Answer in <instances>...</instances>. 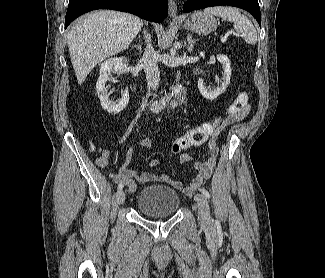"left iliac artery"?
<instances>
[{"label":"left iliac artery","mask_w":325,"mask_h":278,"mask_svg":"<svg viewBox=\"0 0 325 278\" xmlns=\"http://www.w3.org/2000/svg\"><path fill=\"white\" fill-rule=\"evenodd\" d=\"M200 192L206 197V198H210V194L209 192L205 189V188H201Z\"/></svg>","instance_id":"obj_1"}]
</instances>
